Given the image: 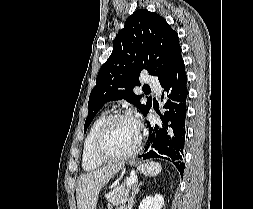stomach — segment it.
Masks as SVG:
<instances>
[{
  "instance_id": "0dacf381",
  "label": "stomach",
  "mask_w": 253,
  "mask_h": 209,
  "mask_svg": "<svg viewBox=\"0 0 253 209\" xmlns=\"http://www.w3.org/2000/svg\"><path fill=\"white\" fill-rule=\"evenodd\" d=\"M102 186H111V181H102Z\"/></svg>"
}]
</instances>
